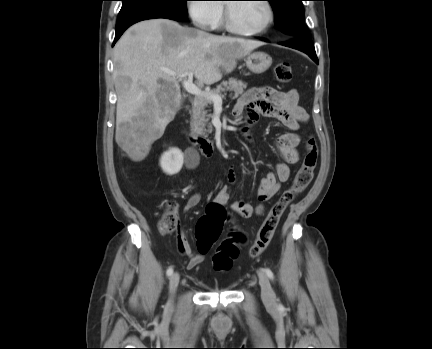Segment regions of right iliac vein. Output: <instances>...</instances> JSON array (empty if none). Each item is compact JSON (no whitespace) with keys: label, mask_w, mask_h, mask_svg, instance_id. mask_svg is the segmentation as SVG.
I'll return each instance as SVG.
<instances>
[{"label":"right iliac vein","mask_w":432,"mask_h":349,"mask_svg":"<svg viewBox=\"0 0 432 349\" xmlns=\"http://www.w3.org/2000/svg\"><path fill=\"white\" fill-rule=\"evenodd\" d=\"M179 280H180V276L178 273L172 274L170 281H169V292H170V299L168 302L169 307L173 306V297H174V294H175L176 289L178 287Z\"/></svg>","instance_id":"right-iliac-vein-1"}]
</instances>
